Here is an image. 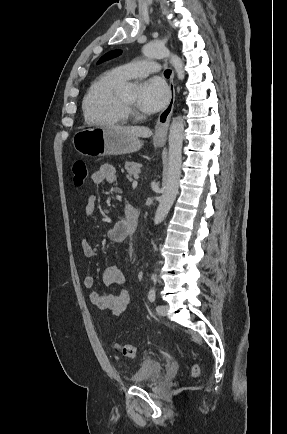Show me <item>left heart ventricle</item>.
<instances>
[{
	"label": "left heart ventricle",
	"instance_id": "1",
	"mask_svg": "<svg viewBox=\"0 0 287 434\" xmlns=\"http://www.w3.org/2000/svg\"><path fill=\"white\" fill-rule=\"evenodd\" d=\"M122 97L124 98V100L126 102H128L131 105H136V92L135 91H130V92H124L122 93Z\"/></svg>",
	"mask_w": 287,
	"mask_h": 434
}]
</instances>
